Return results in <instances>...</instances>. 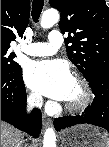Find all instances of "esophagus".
<instances>
[{
    "instance_id": "34e87169",
    "label": "esophagus",
    "mask_w": 109,
    "mask_h": 147,
    "mask_svg": "<svg viewBox=\"0 0 109 147\" xmlns=\"http://www.w3.org/2000/svg\"><path fill=\"white\" fill-rule=\"evenodd\" d=\"M50 124H51V120H50L47 116L43 115V125H44L45 127H47V126H49Z\"/></svg>"
}]
</instances>
